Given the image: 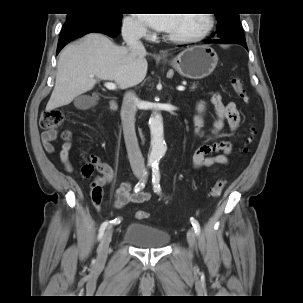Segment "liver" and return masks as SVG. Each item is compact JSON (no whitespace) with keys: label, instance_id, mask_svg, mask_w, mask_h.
<instances>
[{"label":"liver","instance_id":"liver-1","mask_svg":"<svg viewBox=\"0 0 303 303\" xmlns=\"http://www.w3.org/2000/svg\"><path fill=\"white\" fill-rule=\"evenodd\" d=\"M146 54L145 51L134 58L129 48L115 45L100 33L88 34L68 45L60 53L55 87L46 111L70 104L90 91L97 80L115 81L121 89L138 85L147 74Z\"/></svg>","mask_w":303,"mask_h":303}]
</instances>
